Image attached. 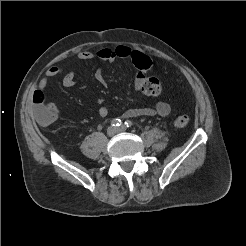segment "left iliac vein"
<instances>
[{"mask_svg":"<svg viewBox=\"0 0 246 246\" xmlns=\"http://www.w3.org/2000/svg\"><path fill=\"white\" fill-rule=\"evenodd\" d=\"M124 131H126V128L124 126L117 128V132H124Z\"/></svg>","mask_w":246,"mask_h":246,"instance_id":"left-iliac-vein-1","label":"left iliac vein"}]
</instances>
